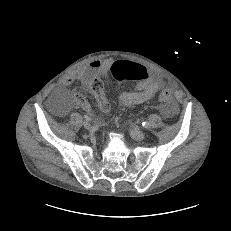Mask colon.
Segmentation results:
<instances>
[{
	"mask_svg": "<svg viewBox=\"0 0 231 231\" xmlns=\"http://www.w3.org/2000/svg\"><path fill=\"white\" fill-rule=\"evenodd\" d=\"M110 73L117 81L141 80L147 76V71L141 64L128 60H119L114 62L110 68ZM91 91L98 97L99 107L103 111H107L109 109V103L104 96V83L100 78L93 80L91 83ZM159 99L162 102L170 101V91H162L159 95Z\"/></svg>",
	"mask_w": 231,
	"mask_h": 231,
	"instance_id": "5ec220e1",
	"label": "colon"
}]
</instances>
